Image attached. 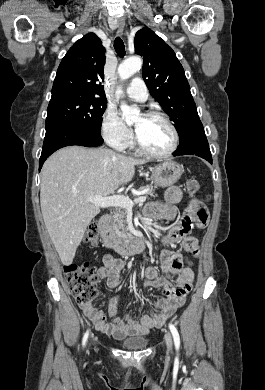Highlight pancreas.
Listing matches in <instances>:
<instances>
[{
	"label": "pancreas",
	"instance_id": "1",
	"mask_svg": "<svg viewBox=\"0 0 265 390\" xmlns=\"http://www.w3.org/2000/svg\"><path fill=\"white\" fill-rule=\"evenodd\" d=\"M147 194L153 196L154 194L153 187L148 188ZM111 219H112V228L118 236L124 238H131V234L128 232V228L126 226V210L124 208L122 207L116 208L111 213Z\"/></svg>",
	"mask_w": 265,
	"mask_h": 390
}]
</instances>
